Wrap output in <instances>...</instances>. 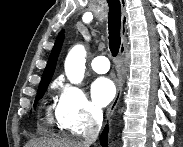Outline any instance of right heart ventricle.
<instances>
[{
  "label": "right heart ventricle",
  "mask_w": 183,
  "mask_h": 147,
  "mask_svg": "<svg viewBox=\"0 0 183 147\" xmlns=\"http://www.w3.org/2000/svg\"><path fill=\"white\" fill-rule=\"evenodd\" d=\"M55 117H56V114H55ZM48 119H49L50 122H52V117L50 115L48 116ZM56 120H57V118H56ZM57 123H58V125H60V123L58 122V120H57Z\"/></svg>",
  "instance_id": "1"
}]
</instances>
